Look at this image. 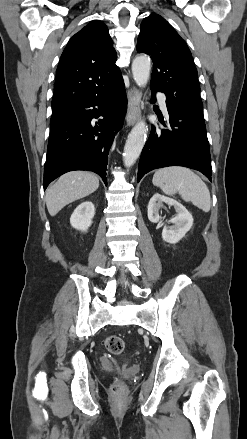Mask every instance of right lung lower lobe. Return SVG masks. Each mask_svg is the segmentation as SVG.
<instances>
[{
	"label": "right lung lower lobe",
	"mask_w": 247,
	"mask_h": 439,
	"mask_svg": "<svg viewBox=\"0 0 247 439\" xmlns=\"http://www.w3.org/2000/svg\"><path fill=\"white\" fill-rule=\"evenodd\" d=\"M127 98L123 79L107 93L73 104L51 117L44 190L73 170L97 173L107 185L106 166L114 135L123 125ZM102 116L98 122L93 118Z\"/></svg>",
	"instance_id": "98d812e1"
}]
</instances>
